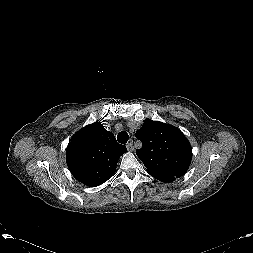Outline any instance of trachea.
Listing matches in <instances>:
<instances>
[{
	"mask_svg": "<svg viewBox=\"0 0 253 253\" xmlns=\"http://www.w3.org/2000/svg\"><path fill=\"white\" fill-rule=\"evenodd\" d=\"M129 139L128 133L125 131H121L118 135H117V140L119 143L121 144H125L127 143Z\"/></svg>",
	"mask_w": 253,
	"mask_h": 253,
	"instance_id": "obj_1",
	"label": "trachea"
}]
</instances>
